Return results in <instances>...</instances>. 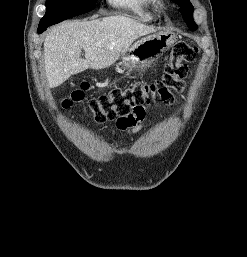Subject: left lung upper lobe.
Segmentation results:
<instances>
[{
	"label": "left lung upper lobe",
	"mask_w": 247,
	"mask_h": 257,
	"mask_svg": "<svg viewBox=\"0 0 247 257\" xmlns=\"http://www.w3.org/2000/svg\"><path fill=\"white\" fill-rule=\"evenodd\" d=\"M172 1L175 2L180 7V12L182 13L183 19L188 25L189 29L191 31L196 30L197 25L195 24L193 20V15H192L194 11V7L191 4V2L189 0H172Z\"/></svg>",
	"instance_id": "1"
}]
</instances>
